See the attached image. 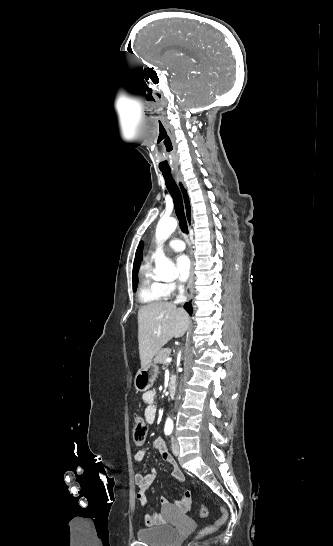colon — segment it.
I'll return each instance as SVG.
<instances>
[{"label": "colon", "mask_w": 333, "mask_h": 546, "mask_svg": "<svg viewBox=\"0 0 333 546\" xmlns=\"http://www.w3.org/2000/svg\"><path fill=\"white\" fill-rule=\"evenodd\" d=\"M133 441L136 445L141 446L145 443L147 436V424L144 419L138 417L134 420L132 426ZM221 516L212 525H209L199 532V536H207L215 532L218 528L225 524L228 518V513L224 508H220ZM199 515L201 518H206L208 515V509L205 505H202L199 509Z\"/></svg>", "instance_id": "obj_1"}]
</instances>
